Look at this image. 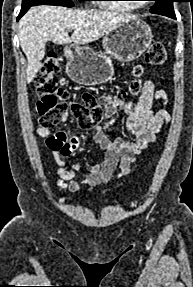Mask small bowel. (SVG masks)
<instances>
[{"instance_id":"small-bowel-1","label":"small bowel","mask_w":193,"mask_h":287,"mask_svg":"<svg viewBox=\"0 0 193 287\" xmlns=\"http://www.w3.org/2000/svg\"><path fill=\"white\" fill-rule=\"evenodd\" d=\"M157 101L165 104L167 95L163 90L156 89L152 80H147L144 83L137 103L127 102L118 95L107 100L104 105V117L111 118L117 111H121L126 116V129L136 137V140L129 141L120 137H110L101 126L96 125L89 140L98 145L104 154L98 162L90 167L82 180H75L74 177L76 172L83 170V166L78 163H70L67 158L72 156V152L75 156L81 155V150H78V147L79 142L83 141V136H79V132H66V127H58V132L38 128L37 135L47 137L46 147L53 152V158L57 165L58 185L70 191H78L82 187L90 189L109 182L117 168L119 169L118 177L127 176L137 157L154 142L162 126L169 120L166 110L154 109V104ZM68 119L69 113L65 111L60 116V121L65 123Z\"/></svg>"}]
</instances>
